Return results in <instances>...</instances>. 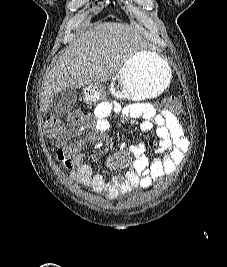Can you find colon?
<instances>
[{
	"label": "colon",
	"mask_w": 227,
	"mask_h": 267,
	"mask_svg": "<svg viewBox=\"0 0 227 267\" xmlns=\"http://www.w3.org/2000/svg\"><path fill=\"white\" fill-rule=\"evenodd\" d=\"M165 105L172 113H179L181 111V105L174 97L167 98ZM82 118L83 114L81 111H73L65 118L49 116L42 126L43 134L49 139H59L64 136L68 126L79 123Z\"/></svg>",
	"instance_id": "5ec220e1"
}]
</instances>
